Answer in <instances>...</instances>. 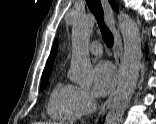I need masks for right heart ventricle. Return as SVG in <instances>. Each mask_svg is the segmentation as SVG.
I'll return each mask as SVG.
<instances>
[{
	"instance_id": "right-heart-ventricle-1",
	"label": "right heart ventricle",
	"mask_w": 156,
	"mask_h": 124,
	"mask_svg": "<svg viewBox=\"0 0 156 124\" xmlns=\"http://www.w3.org/2000/svg\"><path fill=\"white\" fill-rule=\"evenodd\" d=\"M77 87L73 85H64L57 83L52 89L48 103V115L58 121H71L75 116L74 111V96Z\"/></svg>"
}]
</instances>
